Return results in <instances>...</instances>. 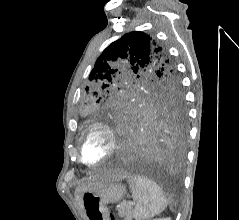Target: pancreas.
Instances as JSON below:
<instances>
[{"mask_svg": "<svg viewBox=\"0 0 239 220\" xmlns=\"http://www.w3.org/2000/svg\"><path fill=\"white\" fill-rule=\"evenodd\" d=\"M118 215L125 220H132V210L130 205L122 204L119 206Z\"/></svg>", "mask_w": 239, "mask_h": 220, "instance_id": "obj_1", "label": "pancreas"}]
</instances>
